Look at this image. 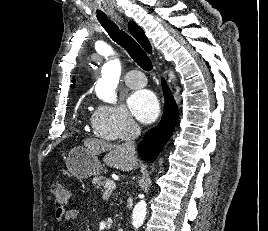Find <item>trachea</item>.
I'll return each instance as SVG.
<instances>
[{"label":"trachea","mask_w":268,"mask_h":231,"mask_svg":"<svg viewBox=\"0 0 268 231\" xmlns=\"http://www.w3.org/2000/svg\"><path fill=\"white\" fill-rule=\"evenodd\" d=\"M98 20L104 29L108 32L112 40L123 47L128 52L130 57L143 70L150 71L152 69V62L150 58L130 35H128L122 29H119V27L108 18H98Z\"/></svg>","instance_id":"1"}]
</instances>
